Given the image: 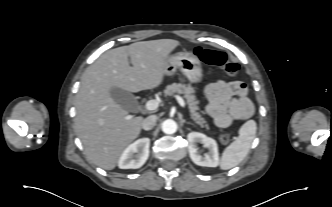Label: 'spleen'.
Returning a JSON list of instances; mask_svg holds the SVG:
<instances>
[{"mask_svg": "<svg viewBox=\"0 0 332 207\" xmlns=\"http://www.w3.org/2000/svg\"><path fill=\"white\" fill-rule=\"evenodd\" d=\"M256 130L257 126L254 120H249L241 126L238 138L222 153L220 160L221 169H231L237 166L247 156L255 138Z\"/></svg>", "mask_w": 332, "mask_h": 207, "instance_id": "1", "label": "spleen"}]
</instances>
